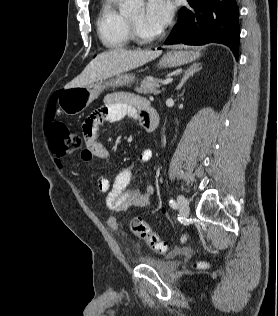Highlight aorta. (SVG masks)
I'll return each instance as SVG.
<instances>
[{"instance_id": "aorta-1", "label": "aorta", "mask_w": 278, "mask_h": 316, "mask_svg": "<svg viewBox=\"0 0 278 316\" xmlns=\"http://www.w3.org/2000/svg\"><path fill=\"white\" fill-rule=\"evenodd\" d=\"M144 5L143 0H126L121 7L120 12L122 14H134L142 10Z\"/></svg>"}]
</instances>
